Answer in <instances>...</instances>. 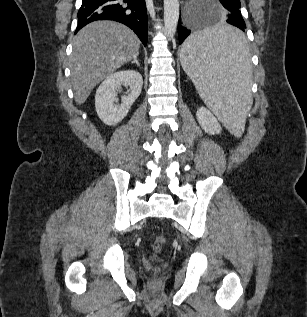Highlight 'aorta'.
Here are the masks:
<instances>
[{
    "instance_id": "1",
    "label": "aorta",
    "mask_w": 307,
    "mask_h": 317,
    "mask_svg": "<svg viewBox=\"0 0 307 317\" xmlns=\"http://www.w3.org/2000/svg\"><path fill=\"white\" fill-rule=\"evenodd\" d=\"M179 19V0H164V30L172 38L176 32Z\"/></svg>"
}]
</instances>
